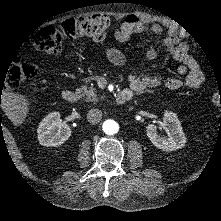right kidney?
Wrapping results in <instances>:
<instances>
[{
  "label": "right kidney",
  "instance_id": "obj_1",
  "mask_svg": "<svg viewBox=\"0 0 221 221\" xmlns=\"http://www.w3.org/2000/svg\"><path fill=\"white\" fill-rule=\"evenodd\" d=\"M61 113L53 110L45 115L36 129L37 139L43 146H59L71 136L69 125L60 120Z\"/></svg>",
  "mask_w": 221,
  "mask_h": 221
}]
</instances>
